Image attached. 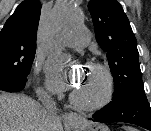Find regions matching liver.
I'll return each mask as SVG.
<instances>
[{"mask_svg":"<svg viewBox=\"0 0 151 131\" xmlns=\"http://www.w3.org/2000/svg\"><path fill=\"white\" fill-rule=\"evenodd\" d=\"M52 115L26 95L0 94V131H53ZM62 131V125L57 128Z\"/></svg>","mask_w":151,"mask_h":131,"instance_id":"6515ba94","label":"liver"}]
</instances>
